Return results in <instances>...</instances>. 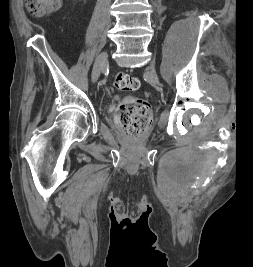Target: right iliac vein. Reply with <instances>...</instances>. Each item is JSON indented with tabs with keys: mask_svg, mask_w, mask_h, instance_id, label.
Returning <instances> with one entry per match:
<instances>
[{
	"mask_svg": "<svg viewBox=\"0 0 253 267\" xmlns=\"http://www.w3.org/2000/svg\"><path fill=\"white\" fill-rule=\"evenodd\" d=\"M107 60H108L107 52H102L96 58V61H95L94 67H93V73H92V80L94 82L97 81L100 73L106 67Z\"/></svg>",
	"mask_w": 253,
	"mask_h": 267,
	"instance_id": "1",
	"label": "right iliac vein"
}]
</instances>
